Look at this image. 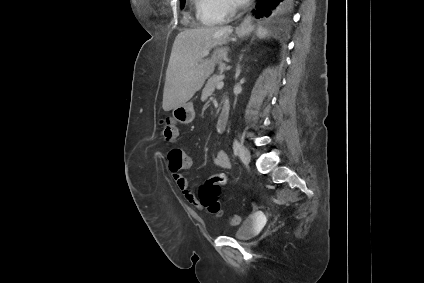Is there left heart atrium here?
Segmentation results:
<instances>
[{
    "label": "left heart atrium",
    "instance_id": "obj_1",
    "mask_svg": "<svg viewBox=\"0 0 424 283\" xmlns=\"http://www.w3.org/2000/svg\"><path fill=\"white\" fill-rule=\"evenodd\" d=\"M237 1V3H239V4H244V3H246L248 0H236Z\"/></svg>",
    "mask_w": 424,
    "mask_h": 283
}]
</instances>
